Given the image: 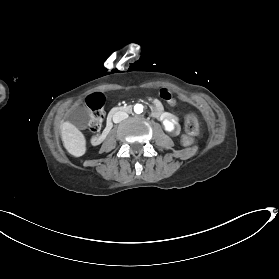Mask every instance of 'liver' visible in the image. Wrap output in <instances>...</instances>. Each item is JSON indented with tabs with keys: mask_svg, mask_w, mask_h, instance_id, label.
<instances>
[{
	"mask_svg": "<svg viewBox=\"0 0 279 279\" xmlns=\"http://www.w3.org/2000/svg\"><path fill=\"white\" fill-rule=\"evenodd\" d=\"M61 138L66 150L75 157L85 154L86 140L84 135L70 122L61 125Z\"/></svg>",
	"mask_w": 279,
	"mask_h": 279,
	"instance_id": "obj_1",
	"label": "liver"
}]
</instances>
